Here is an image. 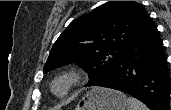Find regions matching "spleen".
Masks as SVG:
<instances>
[{
    "instance_id": "spleen-1",
    "label": "spleen",
    "mask_w": 171,
    "mask_h": 110,
    "mask_svg": "<svg viewBox=\"0 0 171 110\" xmlns=\"http://www.w3.org/2000/svg\"><path fill=\"white\" fill-rule=\"evenodd\" d=\"M128 110H148V108L140 101L133 97L127 98Z\"/></svg>"
}]
</instances>
